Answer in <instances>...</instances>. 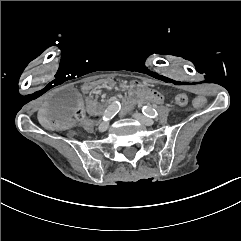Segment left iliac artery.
<instances>
[{
    "label": "left iliac artery",
    "mask_w": 241,
    "mask_h": 241,
    "mask_svg": "<svg viewBox=\"0 0 241 241\" xmlns=\"http://www.w3.org/2000/svg\"><path fill=\"white\" fill-rule=\"evenodd\" d=\"M142 112L144 115H146L150 118H156L158 116L157 111L149 106H144L142 108Z\"/></svg>",
    "instance_id": "left-iliac-artery-1"
}]
</instances>
